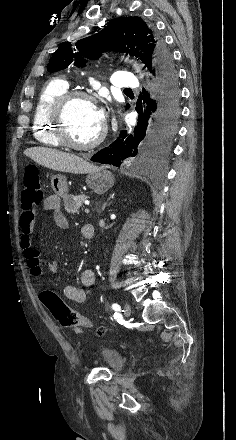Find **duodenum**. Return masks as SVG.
<instances>
[{
    "mask_svg": "<svg viewBox=\"0 0 236 440\" xmlns=\"http://www.w3.org/2000/svg\"><path fill=\"white\" fill-rule=\"evenodd\" d=\"M84 233L87 238H93L94 237V227L90 224L84 226Z\"/></svg>",
    "mask_w": 236,
    "mask_h": 440,
    "instance_id": "duodenum-1",
    "label": "duodenum"
}]
</instances>
